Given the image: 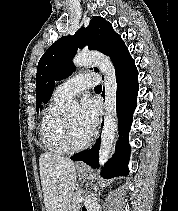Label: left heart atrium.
Here are the masks:
<instances>
[{"label": "left heart atrium", "instance_id": "obj_1", "mask_svg": "<svg viewBox=\"0 0 178 211\" xmlns=\"http://www.w3.org/2000/svg\"><path fill=\"white\" fill-rule=\"evenodd\" d=\"M98 122V111L95 104L90 99H84L79 115L80 126L88 133L92 134Z\"/></svg>", "mask_w": 178, "mask_h": 211}]
</instances>
